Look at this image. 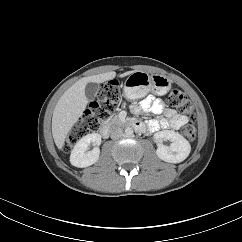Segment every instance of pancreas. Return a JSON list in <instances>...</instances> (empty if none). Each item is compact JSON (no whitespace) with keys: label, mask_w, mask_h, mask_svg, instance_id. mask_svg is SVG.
<instances>
[{"label":"pancreas","mask_w":242,"mask_h":242,"mask_svg":"<svg viewBox=\"0 0 242 242\" xmlns=\"http://www.w3.org/2000/svg\"><path fill=\"white\" fill-rule=\"evenodd\" d=\"M109 125H123L124 121L120 120L118 116L110 117L108 119Z\"/></svg>","instance_id":"obj_1"}]
</instances>
